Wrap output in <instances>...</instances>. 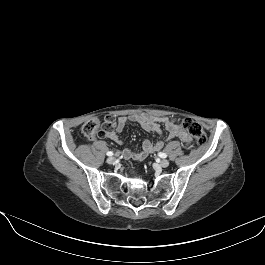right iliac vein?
Returning <instances> with one entry per match:
<instances>
[{
    "instance_id": "right-iliac-vein-1",
    "label": "right iliac vein",
    "mask_w": 265,
    "mask_h": 265,
    "mask_svg": "<svg viewBox=\"0 0 265 265\" xmlns=\"http://www.w3.org/2000/svg\"><path fill=\"white\" fill-rule=\"evenodd\" d=\"M114 162H115V158H114V157H109V158L107 159V163H108V164H114Z\"/></svg>"
}]
</instances>
